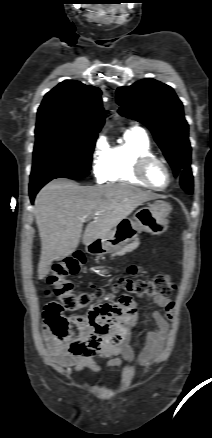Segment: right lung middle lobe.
Wrapping results in <instances>:
<instances>
[{"label":"right lung middle lobe","mask_w":212,"mask_h":438,"mask_svg":"<svg viewBox=\"0 0 212 438\" xmlns=\"http://www.w3.org/2000/svg\"><path fill=\"white\" fill-rule=\"evenodd\" d=\"M35 136L30 178L44 175L89 174L97 133L43 130L35 132Z\"/></svg>","instance_id":"right-lung-middle-lobe-1"}]
</instances>
